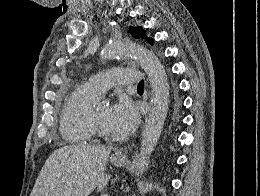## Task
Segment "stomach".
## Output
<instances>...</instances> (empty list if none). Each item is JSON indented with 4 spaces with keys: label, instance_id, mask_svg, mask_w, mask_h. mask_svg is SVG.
<instances>
[{
    "label": "stomach",
    "instance_id": "0dacf381",
    "mask_svg": "<svg viewBox=\"0 0 260 196\" xmlns=\"http://www.w3.org/2000/svg\"><path fill=\"white\" fill-rule=\"evenodd\" d=\"M111 162L114 166H123L125 160H113V158H111Z\"/></svg>",
    "mask_w": 260,
    "mask_h": 196
}]
</instances>
